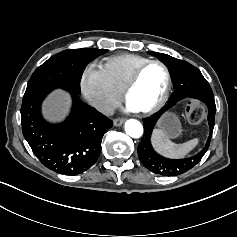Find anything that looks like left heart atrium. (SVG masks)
<instances>
[{"instance_id":"1","label":"left heart atrium","mask_w":237,"mask_h":237,"mask_svg":"<svg viewBox=\"0 0 237 237\" xmlns=\"http://www.w3.org/2000/svg\"><path fill=\"white\" fill-rule=\"evenodd\" d=\"M127 110L128 111H134L128 104H127Z\"/></svg>"}]
</instances>
